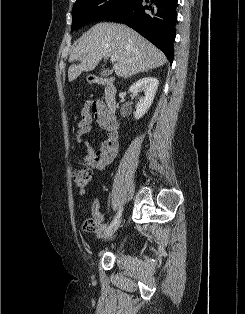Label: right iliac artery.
Listing matches in <instances>:
<instances>
[{"mask_svg": "<svg viewBox=\"0 0 245 314\" xmlns=\"http://www.w3.org/2000/svg\"><path fill=\"white\" fill-rule=\"evenodd\" d=\"M122 212V209L120 208L118 213L116 214L115 218L112 220V222L110 223V225L105 229V232H108L113 226L114 224L116 223L117 221V217L118 215Z\"/></svg>", "mask_w": 245, "mask_h": 314, "instance_id": "right-iliac-artery-1", "label": "right iliac artery"}]
</instances>
